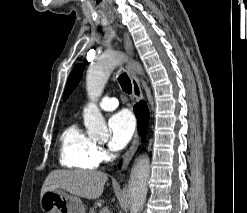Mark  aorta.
<instances>
[{"label":"aorta","instance_id":"obj_1","mask_svg":"<svg viewBox=\"0 0 247 213\" xmlns=\"http://www.w3.org/2000/svg\"><path fill=\"white\" fill-rule=\"evenodd\" d=\"M124 59V54L119 51L105 52L100 59L93 63L86 76V89L90 103L84 108V125L91 137L107 132V126L99 108L97 99L115 67ZM136 70L140 72L137 67ZM150 176V160L147 155L140 156L131 169L128 193L130 198V213H139L146 200L147 182Z\"/></svg>","mask_w":247,"mask_h":213}]
</instances>
